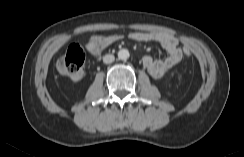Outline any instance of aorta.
Listing matches in <instances>:
<instances>
[{
  "instance_id": "aorta-1",
  "label": "aorta",
  "mask_w": 244,
  "mask_h": 157,
  "mask_svg": "<svg viewBox=\"0 0 244 157\" xmlns=\"http://www.w3.org/2000/svg\"><path fill=\"white\" fill-rule=\"evenodd\" d=\"M130 54L127 49H121L118 51V58L120 60H127L129 58Z\"/></svg>"
}]
</instances>
